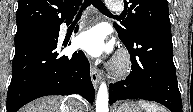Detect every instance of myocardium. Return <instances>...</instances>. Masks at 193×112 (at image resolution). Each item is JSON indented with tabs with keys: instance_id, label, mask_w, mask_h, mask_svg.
<instances>
[{
	"instance_id": "f54148a6",
	"label": "myocardium",
	"mask_w": 193,
	"mask_h": 112,
	"mask_svg": "<svg viewBox=\"0 0 193 112\" xmlns=\"http://www.w3.org/2000/svg\"><path fill=\"white\" fill-rule=\"evenodd\" d=\"M131 68V61L129 54L122 50L120 51L110 66V72L114 77L120 78L126 76Z\"/></svg>"
}]
</instances>
